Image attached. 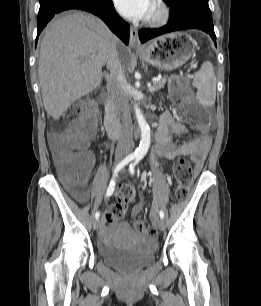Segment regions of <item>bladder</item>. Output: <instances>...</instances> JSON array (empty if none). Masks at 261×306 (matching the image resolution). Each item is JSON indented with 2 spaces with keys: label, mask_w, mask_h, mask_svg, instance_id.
<instances>
[{
  "label": "bladder",
  "mask_w": 261,
  "mask_h": 306,
  "mask_svg": "<svg viewBox=\"0 0 261 306\" xmlns=\"http://www.w3.org/2000/svg\"><path fill=\"white\" fill-rule=\"evenodd\" d=\"M128 231L131 230L128 229ZM122 237L123 235L119 234L100 247L99 255L104 264L127 272H134L154 261L156 243L140 239L133 245H123Z\"/></svg>",
  "instance_id": "obj_1"
}]
</instances>
